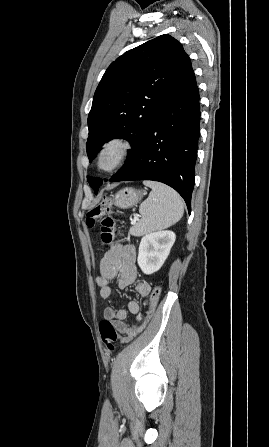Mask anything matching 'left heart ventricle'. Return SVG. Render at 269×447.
<instances>
[{"label":"left heart ventricle","mask_w":269,"mask_h":447,"mask_svg":"<svg viewBox=\"0 0 269 447\" xmlns=\"http://www.w3.org/2000/svg\"><path fill=\"white\" fill-rule=\"evenodd\" d=\"M111 156L110 155H106V156H104V158H103V161H102V165L103 166H107L110 162H111Z\"/></svg>","instance_id":"1"}]
</instances>
